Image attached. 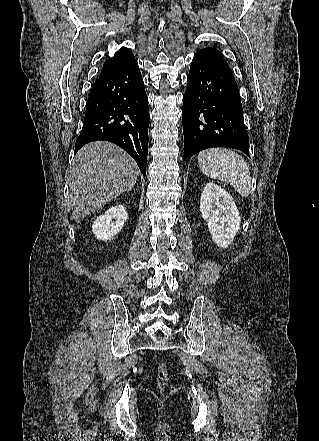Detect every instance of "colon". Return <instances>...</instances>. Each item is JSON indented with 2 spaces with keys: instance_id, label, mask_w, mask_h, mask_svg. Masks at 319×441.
Listing matches in <instances>:
<instances>
[{
  "instance_id": "obj_1",
  "label": "colon",
  "mask_w": 319,
  "mask_h": 441,
  "mask_svg": "<svg viewBox=\"0 0 319 441\" xmlns=\"http://www.w3.org/2000/svg\"><path fill=\"white\" fill-rule=\"evenodd\" d=\"M168 378L167 368L163 363L158 365V380L160 384H165Z\"/></svg>"
}]
</instances>
